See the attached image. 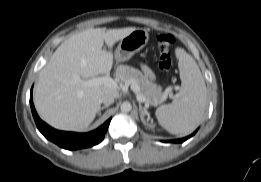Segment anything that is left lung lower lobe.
<instances>
[{"label":"left lung lower lobe","instance_id":"obj_1","mask_svg":"<svg viewBox=\"0 0 261 182\" xmlns=\"http://www.w3.org/2000/svg\"><path fill=\"white\" fill-rule=\"evenodd\" d=\"M195 133H196V131H195L193 134H191V135H189V136H187V137H185V138L177 139V140H174V141H172V142L182 143V142L186 141L188 138L192 137Z\"/></svg>","mask_w":261,"mask_h":182}]
</instances>
